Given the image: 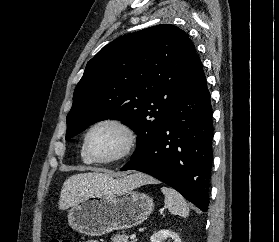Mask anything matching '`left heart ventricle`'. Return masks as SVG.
I'll list each match as a JSON object with an SVG mask.
<instances>
[{
    "label": "left heart ventricle",
    "instance_id": "1",
    "mask_svg": "<svg viewBox=\"0 0 279 242\" xmlns=\"http://www.w3.org/2000/svg\"><path fill=\"white\" fill-rule=\"evenodd\" d=\"M124 144L125 135L119 128L112 125H103L91 134L89 151L96 158H109L118 154Z\"/></svg>",
    "mask_w": 279,
    "mask_h": 242
}]
</instances>
